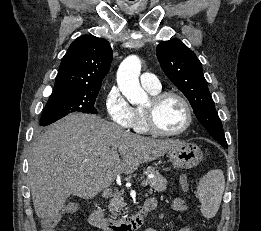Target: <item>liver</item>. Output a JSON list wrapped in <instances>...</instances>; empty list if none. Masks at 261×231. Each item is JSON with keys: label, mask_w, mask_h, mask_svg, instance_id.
Listing matches in <instances>:
<instances>
[{"label": "liver", "mask_w": 261, "mask_h": 231, "mask_svg": "<svg viewBox=\"0 0 261 231\" xmlns=\"http://www.w3.org/2000/svg\"><path fill=\"white\" fill-rule=\"evenodd\" d=\"M180 143L133 134L95 115L69 114L33 143L28 176L35 212L52 218L70 195L92 198Z\"/></svg>", "instance_id": "liver-1"}]
</instances>
